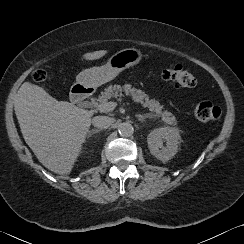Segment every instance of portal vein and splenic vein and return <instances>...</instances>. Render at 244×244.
I'll use <instances>...</instances> for the list:
<instances>
[{"label": "portal vein and splenic vein", "instance_id": "18ae733b", "mask_svg": "<svg viewBox=\"0 0 244 244\" xmlns=\"http://www.w3.org/2000/svg\"><path fill=\"white\" fill-rule=\"evenodd\" d=\"M118 104L116 102L110 101L103 104H96L95 108L101 112L112 111Z\"/></svg>", "mask_w": 244, "mask_h": 244}]
</instances>
